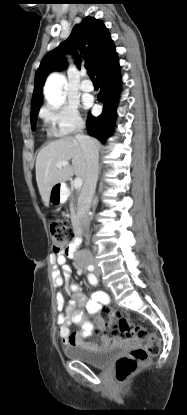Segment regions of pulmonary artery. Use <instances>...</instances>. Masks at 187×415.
I'll use <instances>...</instances> for the list:
<instances>
[{"label": "pulmonary artery", "instance_id": "1", "mask_svg": "<svg viewBox=\"0 0 187 415\" xmlns=\"http://www.w3.org/2000/svg\"><path fill=\"white\" fill-rule=\"evenodd\" d=\"M83 76H85V74H83ZM80 89L84 92H91L93 90V85L89 81L83 80L80 84Z\"/></svg>", "mask_w": 187, "mask_h": 415}]
</instances>
